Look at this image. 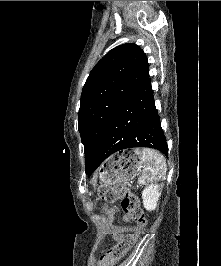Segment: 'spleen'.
Listing matches in <instances>:
<instances>
[{
	"mask_svg": "<svg viewBox=\"0 0 221 266\" xmlns=\"http://www.w3.org/2000/svg\"><path fill=\"white\" fill-rule=\"evenodd\" d=\"M136 154L142 161L143 173L139 179V184L144 185L157 177H164L166 173V163L164 157L153 149H135Z\"/></svg>",
	"mask_w": 221,
	"mask_h": 266,
	"instance_id": "1",
	"label": "spleen"
}]
</instances>
